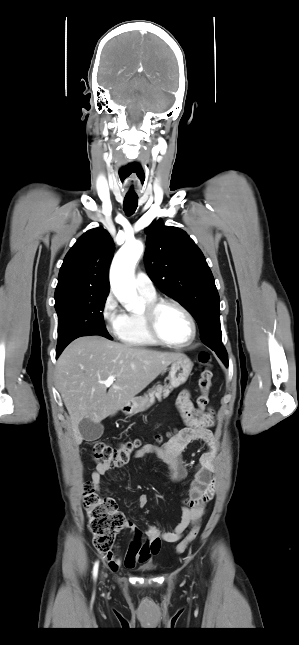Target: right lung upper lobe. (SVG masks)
<instances>
[{
    "mask_svg": "<svg viewBox=\"0 0 299 645\" xmlns=\"http://www.w3.org/2000/svg\"><path fill=\"white\" fill-rule=\"evenodd\" d=\"M113 251V240L102 227L84 233L60 268L55 304L71 296L108 294V268Z\"/></svg>",
    "mask_w": 299,
    "mask_h": 645,
    "instance_id": "obj_1",
    "label": "right lung upper lobe"
}]
</instances>
